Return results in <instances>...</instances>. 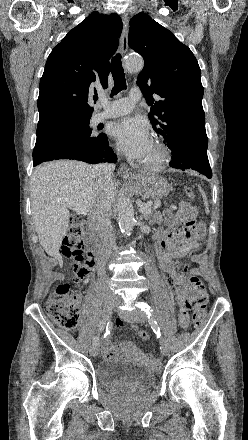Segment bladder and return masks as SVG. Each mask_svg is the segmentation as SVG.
I'll return each mask as SVG.
<instances>
[{
	"instance_id": "bladder-1",
	"label": "bladder",
	"mask_w": 248,
	"mask_h": 440,
	"mask_svg": "<svg viewBox=\"0 0 248 440\" xmlns=\"http://www.w3.org/2000/svg\"><path fill=\"white\" fill-rule=\"evenodd\" d=\"M95 375L101 385L116 390H143L150 387L156 378L151 367L121 359L99 362Z\"/></svg>"
}]
</instances>
